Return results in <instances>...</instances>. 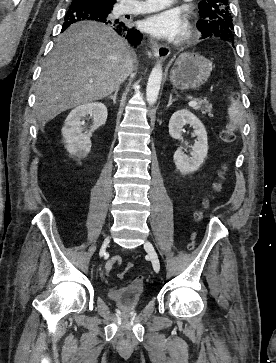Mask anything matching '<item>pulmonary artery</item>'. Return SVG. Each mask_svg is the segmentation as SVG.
Wrapping results in <instances>:
<instances>
[{
	"instance_id": "obj_1",
	"label": "pulmonary artery",
	"mask_w": 276,
	"mask_h": 363,
	"mask_svg": "<svg viewBox=\"0 0 276 363\" xmlns=\"http://www.w3.org/2000/svg\"><path fill=\"white\" fill-rule=\"evenodd\" d=\"M174 0H147L139 4L136 8H124V12L129 13H148L170 6ZM188 1V0H185Z\"/></svg>"
}]
</instances>
